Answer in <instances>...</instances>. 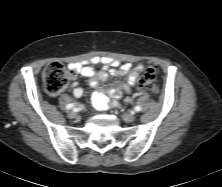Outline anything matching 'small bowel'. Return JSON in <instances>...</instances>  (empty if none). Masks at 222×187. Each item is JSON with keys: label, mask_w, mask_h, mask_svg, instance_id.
<instances>
[{"label": "small bowel", "mask_w": 222, "mask_h": 187, "mask_svg": "<svg viewBox=\"0 0 222 187\" xmlns=\"http://www.w3.org/2000/svg\"><path fill=\"white\" fill-rule=\"evenodd\" d=\"M91 64H102L103 69L96 70ZM68 68L69 77L73 80L72 87L75 97H81L84 93V89L75 81L77 75L87 77L89 79V85L93 88H97L99 84L106 81L110 75L127 77L126 82L117 87H112L107 90L99 88L94 91L92 94V104L100 110H107L110 107L117 106L118 100L123 94L130 95L142 69L141 65L133 67L128 62L122 63L110 57L98 56L92 57L86 62L71 63Z\"/></svg>", "instance_id": "small-bowel-1"}]
</instances>
